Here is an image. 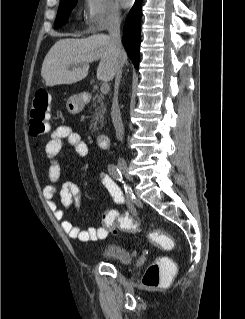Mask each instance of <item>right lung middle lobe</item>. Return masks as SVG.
<instances>
[{
    "mask_svg": "<svg viewBox=\"0 0 245 319\" xmlns=\"http://www.w3.org/2000/svg\"><path fill=\"white\" fill-rule=\"evenodd\" d=\"M76 3H77V0H61L58 14H57V18L55 21V28L56 29L62 27L66 23L69 15H70V13H71V11Z\"/></svg>",
    "mask_w": 245,
    "mask_h": 319,
    "instance_id": "obj_1",
    "label": "right lung middle lobe"
}]
</instances>
